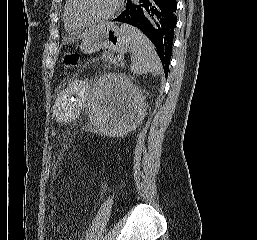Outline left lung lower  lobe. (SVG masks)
<instances>
[{"mask_svg": "<svg viewBox=\"0 0 257 240\" xmlns=\"http://www.w3.org/2000/svg\"><path fill=\"white\" fill-rule=\"evenodd\" d=\"M176 0H127L124 11L114 20L140 29L155 45L168 75L177 17Z\"/></svg>", "mask_w": 257, "mask_h": 240, "instance_id": "left-lung-lower-lobe-1", "label": "left lung lower lobe"}]
</instances>
